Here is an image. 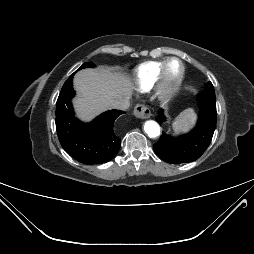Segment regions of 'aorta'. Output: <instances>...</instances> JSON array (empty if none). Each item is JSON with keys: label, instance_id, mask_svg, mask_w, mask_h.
<instances>
[{"label": "aorta", "instance_id": "aorta-1", "mask_svg": "<svg viewBox=\"0 0 254 254\" xmlns=\"http://www.w3.org/2000/svg\"><path fill=\"white\" fill-rule=\"evenodd\" d=\"M144 130L150 138H155L160 135V126L155 121H146Z\"/></svg>", "mask_w": 254, "mask_h": 254}]
</instances>
